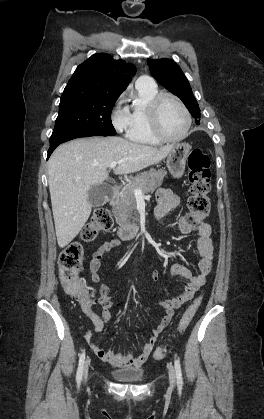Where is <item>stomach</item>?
Segmentation results:
<instances>
[{"label":"stomach","instance_id":"0dacf381","mask_svg":"<svg viewBox=\"0 0 264 419\" xmlns=\"http://www.w3.org/2000/svg\"><path fill=\"white\" fill-rule=\"evenodd\" d=\"M190 149L191 145L188 143H176L168 154L167 168L174 178H180L184 174Z\"/></svg>","mask_w":264,"mask_h":419}]
</instances>
